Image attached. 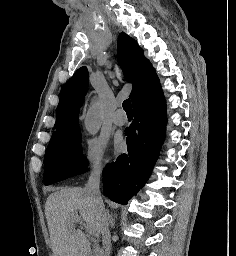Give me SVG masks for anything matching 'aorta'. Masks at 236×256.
<instances>
[{"mask_svg": "<svg viewBox=\"0 0 236 256\" xmlns=\"http://www.w3.org/2000/svg\"><path fill=\"white\" fill-rule=\"evenodd\" d=\"M102 106L99 101L92 103L85 117V127L87 131L94 135L101 126Z\"/></svg>", "mask_w": 236, "mask_h": 256, "instance_id": "1", "label": "aorta"}]
</instances>
